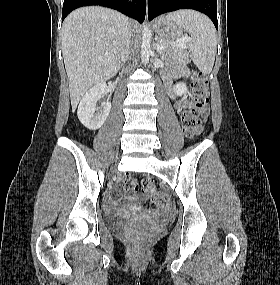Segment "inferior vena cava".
Masks as SVG:
<instances>
[{
	"mask_svg": "<svg viewBox=\"0 0 280 285\" xmlns=\"http://www.w3.org/2000/svg\"><path fill=\"white\" fill-rule=\"evenodd\" d=\"M132 44H133V33L131 28L127 26L124 34V47L121 51L122 63H125L128 60Z\"/></svg>",
	"mask_w": 280,
	"mask_h": 285,
	"instance_id": "602c4592",
	"label": "inferior vena cava"
}]
</instances>
